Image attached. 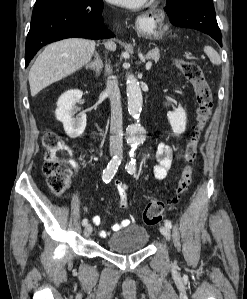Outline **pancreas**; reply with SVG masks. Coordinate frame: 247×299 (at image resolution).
<instances>
[{"label": "pancreas", "instance_id": "pancreas-1", "mask_svg": "<svg viewBox=\"0 0 247 299\" xmlns=\"http://www.w3.org/2000/svg\"><path fill=\"white\" fill-rule=\"evenodd\" d=\"M146 59H152L155 62H158L159 58H160V53L158 49H154L150 52H148L145 56Z\"/></svg>", "mask_w": 247, "mask_h": 299}]
</instances>
